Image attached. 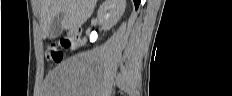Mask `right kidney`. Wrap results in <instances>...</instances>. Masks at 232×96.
I'll use <instances>...</instances> for the list:
<instances>
[{
	"label": "right kidney",
	"instance_id": "right-kidney-1",
	"mask_svg": "<svg viewBox=\"0 0 232 96\" xmlns=\"http://www.w3.org/2000/svg\"><path fill=\"white\" fill-rule=\"evenodd\" d=\"M125 0H105L98 10L99 23L104 30H110L125 11ZM86 41V38L83 39Z\"/></svg>",
	"mask_w": 232,
	"mask_h": 96
}]
</instances>
